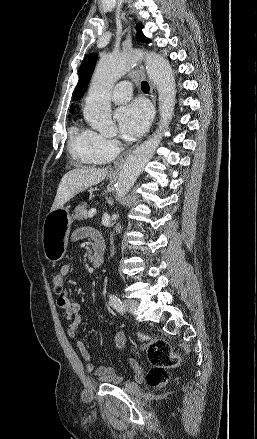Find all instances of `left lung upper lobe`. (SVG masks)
Returning a JSON list of instances; mask_svg holds the SVG:
<instances>
[{"mask_svg":"<svg viewBox=\"0 0 257 439\" xmlns=\"http://www.w3.org/2000/svg\"><path fill=\"white\" fill-rule=\"evenodd\" d=\"M142 28H143L142 24L136 25L137 38L140 42L149 43L150 40L143 35ZM96 60H97V54H89L83 59L81 67H80L79 81L77 83V86H76V89L74 92V100L81 98L82 95L84 94L86 87L89 83V80L91 78V75L93 73Z\"/></svg>","mask_w":257,"mask_h":439,"instance_id":"1","label":"left lung upper lobe"}]
</instances>
